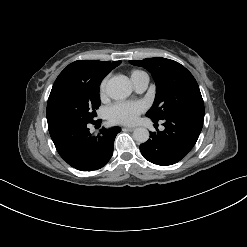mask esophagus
Returning a JSON list of instances; mask_svg holds the SVG:
<instances>
[{"mask_svg": "<svg viewBox=\"0 0 247 247\" xmlns=\"http://www.w3.org/2000/svg\"><path fill=\"white\" fill-rule=\"evenodd\" d=\"M124 131H134L135 127H123Z\"/></svg>", "mask_w": 247, "mask_h": 247, "instance_id": "1", "label": "esophagus"}]
</instances>
